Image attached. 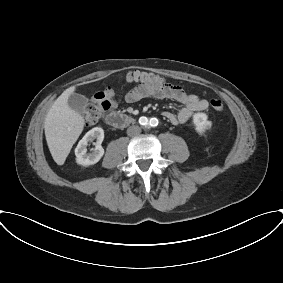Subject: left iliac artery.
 <instances>
[{
	"instance_id": "44dca946",
	"label": "left iliac artery",
	"mask_w": 283,
	"mask_h": 283,
	"mask_svg": "<svg viewBox=\"0 0 283 283\" xmlns=\"http://www.w3.org/2000/svg\"><path fill=\"white\" fill-rule=\"evenodd\" d=\"M149 123L151 126H156L158 124V120L156 118H151Z\"/></svg>"
}]
</instances>
